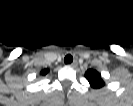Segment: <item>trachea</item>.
Returning <instances> with one entry per match:
<instances>
[{
    "label": "trachea",
    "instance_id": "trachea-1",
    "mask_svg": "<svg viewBox=\"0 0 133 106\" xmlns=\"http://www.w3.org/2000/svg\"><path fill=\"white\" fill-rule=\"evenodd\" d=\"M64 62H65V64H70V63H72V62H73V57H72V55H70V54L66 55L65 58H64Z\"/></svg>",
    "mask_w": 133,
    "mask_h": 106
}]
</instances>
